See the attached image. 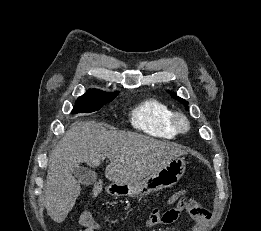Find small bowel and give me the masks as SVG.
<instances>
[{
    "instance_id": "small-bowel-1",
    "label": "small bowel",
    "mask_w": 261,
    "mask_h": 231,
    "mask_svg": "<svg viewBox=\"0 0 261 231\" xmlns=\"http://www.w3.org/2000/svg\"><path fill=\"white\" fill-rule=\"evenodd\" d=\"M180 215L178 209H170L164 213L160 212V209L154 207L146 221V227L153 229L160 225L171 224L177 220ZM80 224L84 227L83 231H98L100 230L99 224L93 220L90 211L85 210L80 217ZM191 231H206V229L198 224H193Z\"/></svg>"
}]
</instances>
